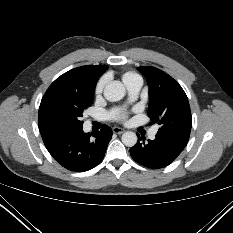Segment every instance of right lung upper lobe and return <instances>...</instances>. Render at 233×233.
<instances>
[{
	"label": "right lung upper lobe",
	"instance_id": "right-lung-upper-lobe-1",
	"mask_svg": "<svg viewBox=\"0 0 233 233\" xmlns=\"http://www.w3.org/2000/svg\"><path fill=\"white\" fill-rule=\"evenodd\" d=\"M108 66H81L74 68L58 77L48 88L43 96L39 108V129L43 142H48L53 137L62 134L52 128L45 116L47 105L55 98L72 92L94 90L98 78L107 70Z\"/></svg>",
	"mask_w": 233,
	"mask_h": 233
}]
</instances>
